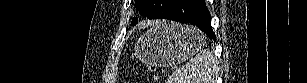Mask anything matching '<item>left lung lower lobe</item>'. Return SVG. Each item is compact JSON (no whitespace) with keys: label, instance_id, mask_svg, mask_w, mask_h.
I'll list each match as a JSON object with an SVG mask.
<instances>
[{"label":"left lung lower lobe","instance_id":"left-lung-lower-lobe-1","mask_svg":"<svg viewBox=\"0 0 307 83\" xmlns=\"http://www.w3.org/2000/svg\"><path fill=\"white\" fill-rule=\"evenodd\" d=\"M164 19L194 24L215 41L205 0H175Z\"/></svg>","mask_w":307,"mask_h":83}]
</instances>
